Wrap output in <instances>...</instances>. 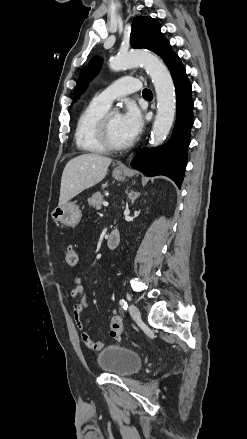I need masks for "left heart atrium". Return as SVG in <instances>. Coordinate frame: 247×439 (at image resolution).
I'll return each mask as SVG.
<instances>
[{"label": "left heart atrium", "instance_id": "1", "mask_svg": "<svg viewBox=\"0 0 247 439\" xmlns=\"http://www.w3.org/2000/svg\"><path fill=\"white\" fill-rule=\"evenodd\" d=\"M121 127L129 141L133 140L142 130L143 116L139 108L130 103L120 116Z\"/></svg>", "mask_w": 247, "mask_h": 439}]
</instances>
